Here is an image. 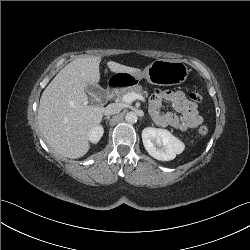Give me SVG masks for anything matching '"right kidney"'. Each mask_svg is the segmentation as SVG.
Segmentation results:
<instances>
[{"label": "right kidney", "instance_id": "obj_1", "mask_svg": "<svg viewBox=\"0 0 250 250\" xmlns=\"http://www.w3.org/2000/svg\"><path fill=\"white\" fill-rule=\"evenodd\" d=\"M102 135H103V127L96 126L90 130L89 135H88V139L92 143H97V142H99Z\"/></svg>", "mask_w": 250, "mask_h": 250}]
</instances>
